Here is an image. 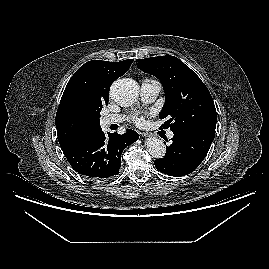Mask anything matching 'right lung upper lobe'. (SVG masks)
Wrapping results in <instances>:
<instances>
[{
	"label": "right lung upper lobe",
	"mask_w": 269,
	"mask_h": 269,
	"mask_svg": "<svg viewBox=\"0 0 269 269\" xmlns=\"http://www.w3.org/2000/svg\"><path fill=\"white\" fill-rule=\"evenodd\" d=\"M133 61L93 60L74 73L64 90L55 118L60 145L100 128L89 109L95 104H108L111 84L125 74Z\"/></svg>",
	"instance_id": "obj_1"
}]
</instances>
